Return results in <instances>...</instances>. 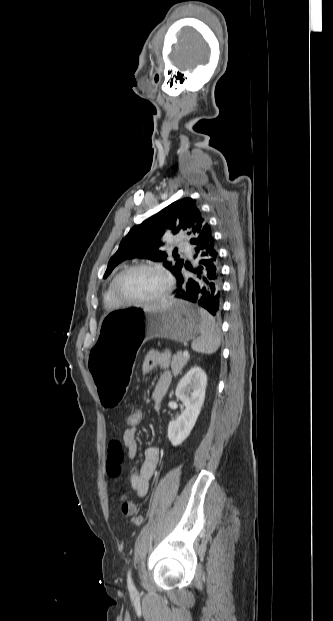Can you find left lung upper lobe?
<instances>
[{"mask_svg": "<svg viewBox=\"0 0 333 621\" xmlns=\"http://www.w3.org/2000/svg\"><path fill=\"white\" fill-rule=\"evenodd\" d=\"M208 225L191 198L179 199L140 225L134 226L121 241L119 249L110 258L104 278L121 262L131 258H148L163 262V266L176 276L184 265L183 260L168 261L167 254L160 251L162 236L166 232L185 234L195 240L202 228Z\"/></svg>", "mask_w": 333, "mask_h": 621, "instance_id": "left-lung-upper-lobe-1", "label": "left lung upper lobe"}]
</instances>
